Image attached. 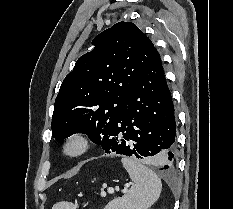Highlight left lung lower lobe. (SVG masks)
Listing matches in <instances>:
<instances>
[{
    "instance_id": "left-lung-lower-lobe-1",
    "label": "left lung lower lobe",
    "mask_w": 233,
    "mask_h": 209,
    "mask_svg": "<svg viewBox=\"0 0 233 209\" xmlns=\"http://www.w3.org/2000/svg\"><path fill=\"white\" fill-rule=\"evenodd\" d=\"M176 122L171 93L159 53L137 79L124 111L103 137L106 153L137 156L147 162L173 167Z\"/></svg>"
}]
</instances>
